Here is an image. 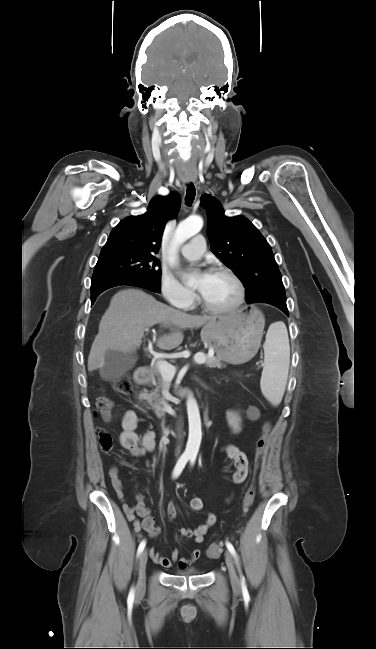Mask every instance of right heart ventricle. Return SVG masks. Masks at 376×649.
<instances>
[{
  "label": "right heart ventricle",
  "mask_w": 376,
  "mask_h": 649,
  "mask_svg": "<svg viewBox=\"0 0 376 649\" xmlns=\"http://www.w3.org/2000/svg\"><path fill=\"white\" fill-rule=\"evenodd\" d=\"M50 636H53V633H50Z\"/></svg>",
  "instance_id": "e07e8e85"
}]
</instances>
